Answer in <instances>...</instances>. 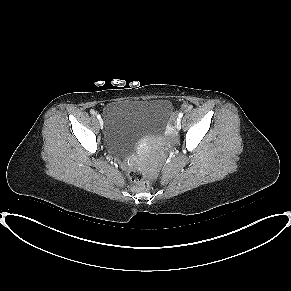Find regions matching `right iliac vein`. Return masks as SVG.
<instances>
[{
    "label": "right iliac vein",
    "mask_w": 291,
    "mask_h": 291,
    "mask_svg": "<svg viewBox=\"0 0 291 291\" xmlns=\"http://www.w3.org/2000/svg\"><path fill=\"white\" fill-rule=\"evenodd\" d=\"M99 122H100V125L102 126V125H103V120H102V119H100V121H99Z\"/></svg>",
    "instance_id": "63e3f726"
}]
</instances>
